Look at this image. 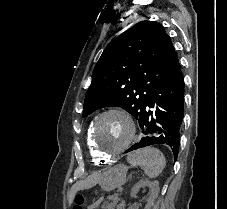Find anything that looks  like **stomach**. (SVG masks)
Here are the masks:
<instances>
[{"label":"stomach","mask_w":227,"mask_h":209,"mask_svg":"<svg viewBox=\"0 0 227 209\" xmlns=\"http://www.w3.org/2000/svg\"><path fill=\"white\" fill-rule=\"evenodd\" d=\"M127 167L116 165L102 173L99 184L105 191H111L121 187L126 182Z\"/></svg>","instance_id":"1"}]
</instances>
